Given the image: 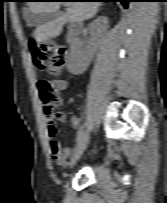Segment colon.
<instances>
[{
  "instance_id": "obj_1",
  "label": "colon",
  "mask_w": 167,
  "mask_h": 203,
  "mask_svg": "<svg viewBox=\"0 0 167 203\" xmlns=\"http://www.w3.org/2000/svg\"><path fill=\"white\" fill-rule=\"evenodd\" d=\"M31 53L34 64L39 70H47L57 75L66 67V50L54 42L40 44L33 42L31 44ZM37 89L46 115L53 119H62V114H53L52 112V106L58 101L59 97L51 82L44 78L39 79Z\"/></svg>"
}]
</instances>
